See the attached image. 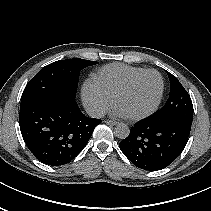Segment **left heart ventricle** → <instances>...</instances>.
Returning <instances> with one entry per match:
<instances>
[{"mask_svg":"<svg viewBox=\"0 0 211 211\" xmlns=\"http://www.w3.org/2000/svg\"><path fill=\"white\" fill-rule=\"evenodd\" d=\"M159 91L158 75L147 73L139 78L126 93L119 96L115 103L125 111L127 116L141 114L154 105Z\"/></svg>","mask_w":211,"mask_h":211,"instance_id":"1","label":"left heart ventricle"}]
</instances>
